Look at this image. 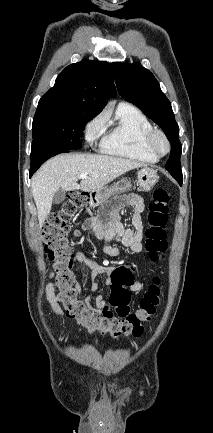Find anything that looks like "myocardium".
<instances>
[{"instance_id":"obj_1","label":"myocardium","mask_w":213,"mask_h":433,"mask_svg":"<svg viewBox=\"0 0 213 433\" xmlns=\"http://www.w3.org/2000/svg\"><path fill=\"white\" fill-rule=\"evenodd\" d=\"M146 147L157 157L167 155L171 151V143L168 136L160 129L152 128L149 130L144 139ZM164 144V148L160 143Z\"/></svg>"}]
</instances>
